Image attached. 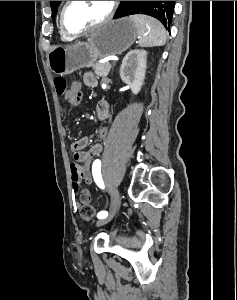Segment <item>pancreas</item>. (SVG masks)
<instances>
[{
  "label": "pancreas",
  "instance_id": "pancreas-1",
  "mask_svg": "<svg viewBox=\"0 0 237 300\" xmlns=\"http://www.w3.org/2000/svg\"><path fill=\"white\" fill-rule=\"evenodd\" d=\"M107 63H93V71L95 75H99V77H107L109 75V71L113 65V63H110L111 66L109 69L104 68V65ZM108 65V64H107Z\"/></svg>",
  "mask_w": 237,
  "mask_h": 300
}]
</instances>
